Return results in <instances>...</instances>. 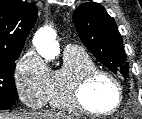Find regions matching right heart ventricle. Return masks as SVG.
<instances>
[{
  "instance_id": "1",
  "label": "right heart ventricle",
  "mask_w": 142,
  "mask_h": 119,
  "mask_svg": "<svg viewBox=\"0 0 142 119\" xmlns=\"http://www.w3.org/2000/svg\"><path fill=\"white\" fill-rule=\"evenodd\" d=\"M95 67L94 61L83 49L75 47L66 49L63 54L62 68L52 71L50 74L47 101L51 107L61 111L74 112L65 98L66 83L80 72Z\"/></svg>"
}]
</instances>
